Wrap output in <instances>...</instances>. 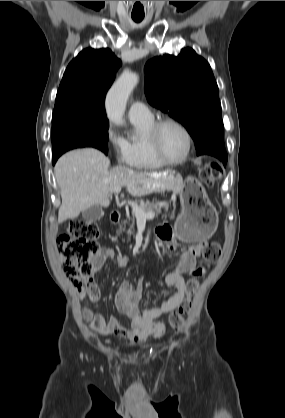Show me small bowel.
Listing matches in <instances>:
<instances>
[{
    "mask_svg": "<svg viewBox=\"0 0 285 418\" xmlns=\"http://www.w3.org/2000/svg\"><path fill=\"white\" fill-rule=\"evenodd\" d=\"M156 234L164 247L171 251L176 249L170 230L158 228ZM201 251L202 245L196 244L179 255L172 271L164 279L165 285L171 287L172 291L160 306L151 307L141 312L139 302L144 287V278L136 288H133L129 281H123L116 293L115 303L118 311L128 319V322L124 324L115 316L106 319L103 315L86 309L82 311V317L88 322L89 330L100 336H126L131 343L143 342L149 336L160 338L162 330L158 326L161 325L157 324L156 320L161 316L171 314L181 305L187 295L184 274L195 272L196 275H201L203 273V271L196 269V258ZM108 260H112L117 268H124L129 263L126 255H116L114 250L108 247L101 248L90 259V262L94 271L98 272ZM76 290L79 298H88L92 303L101 299V292L94 283H90L84 289L76 287Z\"/></svg>",
    "mask_w": 285,
    "mask_h": 418,
    "instance_id": "obj_1",
    "label": "small bowel"
}]
</instances>
